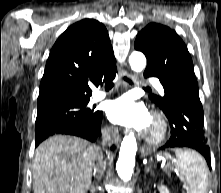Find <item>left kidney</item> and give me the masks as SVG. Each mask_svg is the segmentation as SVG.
I'll list each match as a JSON object with an SVG mask.
<instances>
[{
	"label": "left kidney",
	"mask_w": 221,
	"mask_h": 193,
	"mask_svg": "<svg viewBox=\"0 0 221 193\" xmlns=\"http://www.w3.org/2000/svg\"><path fill=\"white\" fill-rule=\"evenodd\" d=\"M158 190H159L160 193H170L168 188L165 187V186H159Z\"/></svg>",
	"instance_id": "1"
}]
</instances>
